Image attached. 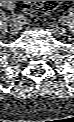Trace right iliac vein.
<instances>
[{
	"mask_svg": "<svg viewBox=\"0 0 74 122\" xmlns=\"http://www.w3.org/2000/svg\"><path fill=\"white\" fill-rule=\"evenodd\" d=\"M13 23V22H12ZM14 24V27L12 28V32L14 33V34H16L17 32H18V27H17V25L15 24V23H13Z\"/></svg>",
	"mask_w": 74,
	"mask_h": 122,
	"instance_id": "1",
	"label": "right iliac vein"
}]
</instances>
